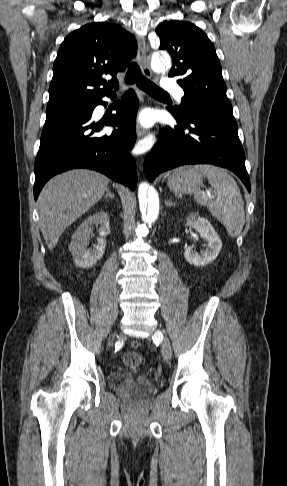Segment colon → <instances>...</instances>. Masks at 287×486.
I'll list each match as a JSON object with an SVG mask.
<instances>
[{
	"mask_svg": "<svg viewBox=\"0 0 287 486\" xmlns=\"http://www.w3.org/2000/svg\"><path fill=\"white\" fill-rule=\"evenodd\" d=\"M123 363L128 368H137L141 363V356L134 351L126 352L123 355Z\"/></svg>",
	"mask_w": 287,
	"mask_h": 486,
	"instance_id": "colon-1",
	"label": "colon"
}]
</instances>
